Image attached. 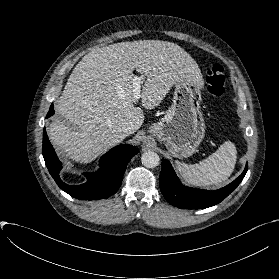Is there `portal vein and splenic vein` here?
Listing matches in <instances>:
<instances>
[{
	"label": "portal vein and splenic vein",
	"mask_w": 279,
	"mask_h": 279,
	"mask_svg": "<svg viewBox=\"0 0 279 279\" xmlns=\"http://www.w3.org/2000/svg\"><path fill=\"white\" fill-rule=\"evenodd\" d=\"M142 76L138 77V76H134L133 77V83H132V87H133V97L135 100H138L141 98L140 95V89H141V80H142Z\"/></svg>",
	"instance_id": "1"
}]
</instances>
